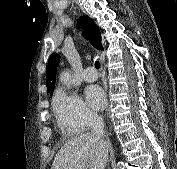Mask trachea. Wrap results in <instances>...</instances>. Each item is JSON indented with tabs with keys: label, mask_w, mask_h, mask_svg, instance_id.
<instances>
[{
	"label": "trachea",
	"mask_w": 177,
	"mask_h": 169,
	"mask_svg": "<svg viewBox=\"0 0 177 169\" xmlns=\"http://www.w3.org/2000/svg\"><path fill=\"white\" fill-rule=\"evenodd\" d=\"M95 68H96V69H99V68H100V63H99V61H95Z\"/></svg>",
	"instance_id": "obj_1"
}]
</instances>
